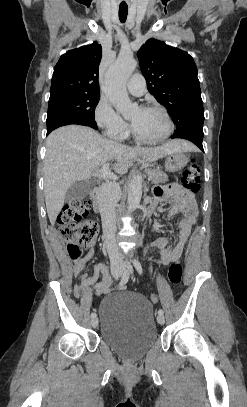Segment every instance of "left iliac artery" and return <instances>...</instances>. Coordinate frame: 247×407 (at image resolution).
Instances as JSON below:
<instances>
[{"label": "left iliac artery", "instance_id": "1", "mask_svg": "<svg viewBox=\"0 0 247 407\" xmlns=\"http://www.w3.org/2000/svg\"><path fill=\"white\" fill-rule=\"evenodd\" d=\"M133 264H134L135 269L138 271V273H139V274H142V273H143V269H142V266H141L140 262H139L137 259H134V260H133ZM163 313H164V312H163L162 309H159V310H158V314L163 315Z\"/></svg>", "mask_w": 247, "mask_h": 407}]
</instances>
